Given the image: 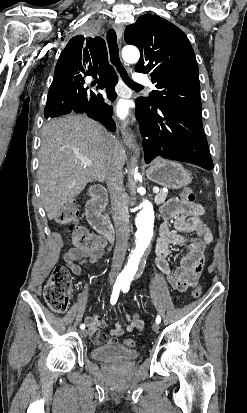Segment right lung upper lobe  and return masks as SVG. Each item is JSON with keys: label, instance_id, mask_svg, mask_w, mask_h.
<instances>
[{"label": "right lung upper lobe", "instance_id": "right-lung-upper-lobe-1", "mask_svg": "<svg viewBox=\"0 0 247 413\" xmlns=\"http://www.w3.org/2000/svg\"><path fill=\"white\" fill-rule=\"evenodd\" d=\"M116 74L108 63L105 41L100 37H73L61 52L55 67L53 82L69 77H104Z\"/></svg>", "mask_w": 247, "mask_h": 413}]
</instances>
